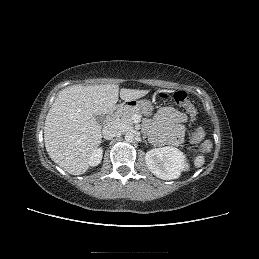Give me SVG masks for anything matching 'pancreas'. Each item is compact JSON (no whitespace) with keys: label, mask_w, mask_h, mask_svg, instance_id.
I'll list each match as a JSON object with an SVG mask.
<instances>
[{"label":"pancreas","mask_w":259,"mask_h":259,"mask_svg":"<svg viewBox=\"0 0 259 259\" xmlns=\"http://www.w3.org/2000/svg\"><path fill=\"white\" fill-rule=\"evenodd\" d=\"M137 114L141 115V112L136 109L120 108L115 114V119L122 126L132 127L133 117Z\"/></svg>","instance_id":"cf45deb5"}]
</instances>
